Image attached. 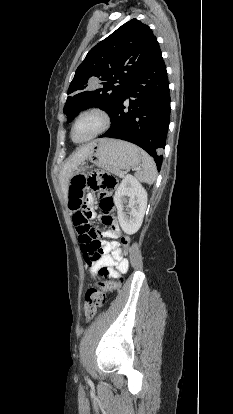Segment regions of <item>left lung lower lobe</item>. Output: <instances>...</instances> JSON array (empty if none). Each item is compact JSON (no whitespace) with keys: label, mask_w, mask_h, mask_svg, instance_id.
<instances>
[{"label":"left lung lower lobe","mask_w":233,"mask_h":414,"mask_svg":"<svg viewBox=\"0 0 233 414\" xmlns=\"http://www.w3.org/2000/svg\"><path fill=\"white\" fill-rule=\"evenodd\" d=\"M132 97L128 108L124 101ZM110 129L100 137L134 143L148 152L161 168V149L165 147L170 122V95L166 66L161 51L126 89L109 114Z\"/></svg>","instance_id":"left-lung-lower-lobe-1"}]
</instances>
